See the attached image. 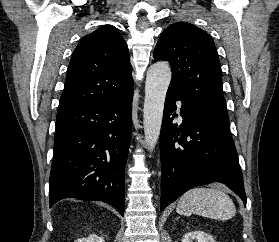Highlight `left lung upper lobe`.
Here are the masks:
<instances>
[{"instance_id": "left-lung-upper-lobe-1", "label": "left lung upper lobe", "mask_w": 279, "mask_h": 242, "mask_svg": "<svg viewBox=\"0 0 279 242\" xmlns=\"http://www.w3.org/2000/svg\"><path fill=\"white\" fill-rule=\"evenodd\" d=\"M154 59L170 62L173 78L169 88L185 105L230 129L218 53L205 31L186 22L171 24L159 38Z\"/></svg>"}]
</instances>
